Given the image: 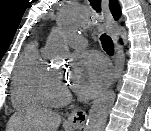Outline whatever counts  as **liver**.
Wrapping results in <instances>:
<instances>
[{"label":"liver","mask_w":151,"mask_h":131,"mask_svg":"<svg viewBox=\"0 0 151 131\" xmlns=\"http://www.w3.org/2000/svg\"><path fill=\"white\" fill-rule=\"evenodd\" d=\"M61 116L44 108L34 107L14 113L6 131H57Z\"/></svg>","instance_id":"obj_1"}]
</instances>
